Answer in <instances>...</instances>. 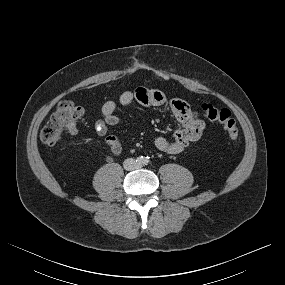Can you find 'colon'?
I'll return each instance as SVG.
<instances>
[{"label":"colon","instance_id":"1","mask_svg":"<svg viewBox=\"0 0 285 285\" xmlns=\"http://www.w3.org/2000/svg\"><path fill=\"white\" fill-rule=\"evenodd\" d=\"M201 111L206 119L220 123L231 140H238L240 128L229 109L206 103L201 106ZM82 117V108L73 101H60L51 115L49 123L41 132L42 141L49 146L56 145L62 140L65 133L75 131Z\"/></svg>","mask_w":285,"mask_h":285}]
</instances>
